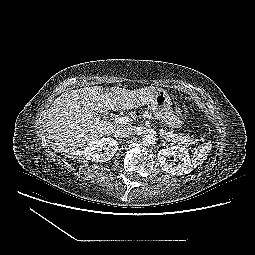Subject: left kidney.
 <instances>
[{"instance_id":"left-kidney-1","label":"left kidney","mask_w":255,"mask_h":255,"mask_svg":"<svg viewBox=\"0 0 255 255\" xmlns=\"http://www.w3.org/2000/svg\"><path fill=\"white\" fill-rule=\"evenodd\" d=\"M171 157L177 159L179 163L175 165L174 162H170L168 159ZM158 161L161 169L172 175H184L190 173L192 170L189 151L182 145L159 150Z\"/></svg>"}]
</instances>
